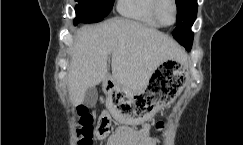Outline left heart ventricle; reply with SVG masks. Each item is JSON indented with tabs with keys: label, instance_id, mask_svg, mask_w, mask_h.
<instances>
[{
	"label": "left heart ventricle",
	"instance_id": "b2bd125f",
	"mask_svg": "<svg viewBox=\"0 0 243 145\" xmlns=\"http://www.w3.org/2000/svg\"><path fill=\"white\" fill-rule=\"evenodd\" d=\"M160 15L162 20L170 24L173 21L174 18V11H173V6L170 0H163L160 6Z\"/></svg>",
	"mask_w": 243,
	"mask_h": 145
}]
</instances>
